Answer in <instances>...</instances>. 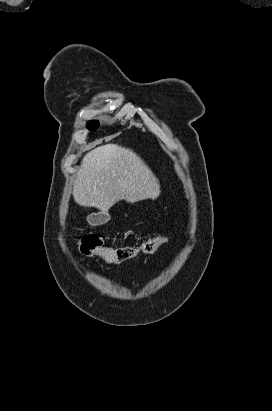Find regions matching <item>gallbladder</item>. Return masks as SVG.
Listing matches in <instances>:
<instances>
[{"label":"gallbladder","mask_w":272,"mask_h":411,"mask_svg":"<svg viewBox=\"0 0 272 411\" xmlns=\"http://www.w3.org/2000/svg\"><path fill=\"white\" fill-rule=\"evenodd\" d=\"M87 220L90 225L99 226L107 223L109 221V216L106 214L92 213L88 216Z\"/></svg>","instance_id":"obj_1"}]
</instances>
